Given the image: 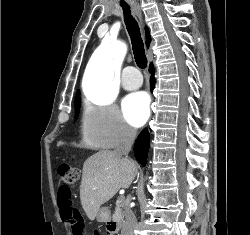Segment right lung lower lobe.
Returning a JSON list of instances; mask_svg holds the SVG:
<instances>
[{
	"mask_svg": "<svg viewBox=\"0 0 250 235\" xmlns=\"http://www.w3.org/2000/svg\"><path fill=\"white\" fill-rule=\"evenodd\" d=\"M149 72L151 74H154V68L152 64H150ZM150 84H151V90H152L155 86L154 77H151ZM149 144H150V136H149L148 130L144 129L141 132V134L138 136L134 145L135 157L143 166L146 165Z\"/></svg>",
	"mask_w": 250,
	"mask_h": 235,
	"instance_id": "98d812e1",
	"label": "right lung lower lobe"
}]
</instances>
